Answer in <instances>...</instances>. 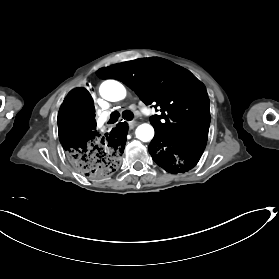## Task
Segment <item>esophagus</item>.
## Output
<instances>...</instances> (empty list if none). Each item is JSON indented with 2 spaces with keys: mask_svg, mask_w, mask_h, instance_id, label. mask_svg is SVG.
<instances>
[{
  "mask_svg": "<svg viewBox=\"0 0 279 279\" xmlns=\"http://www.w3.org/2000/svg\"><path fill=\"white\" fill-rule=\"evenodd\" d=\"M136 125H137V123L135 121L128 122V126L130 129H133Z\"/></svg>",
  "mask_w": 279,
  "mask_h": 279,
  "instance_id": "34e87169",
  "label": "esophagus"
}]
</instances>
